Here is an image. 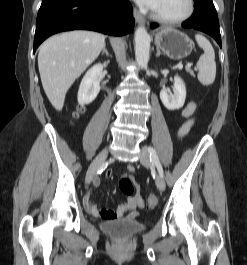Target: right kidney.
<instances>
[{
	"instance_id": "ca27d5eb",
	"label": "right kidney",
	"mask_w": 247,
	"mask_h": 265,
	"mask_svg": "<svg viewBox=\"0 0 247 265\" xmlns=\"http://www.w3.org/2000/svg\"><path fill=\"white\" fill-rule=\"evenodd\" d=\"M108 65V62L103 64L99 63L91 67L84 75L79 91H78V103L81 105L90 104L95 100L100 91V79L99 75Z\"/></svg>"
}]
</instances>
